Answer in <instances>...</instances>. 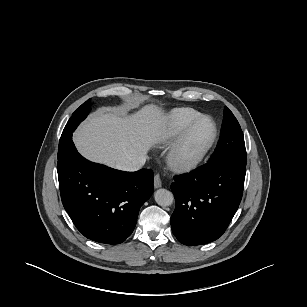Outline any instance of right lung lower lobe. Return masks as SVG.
<instances>
[{
  "instance_id": "1",
  "label": "right lung lower lobe",
  "mask_w": 307,
  "mask_h": 307,
  "mask_svg": "<svg viewBox=\"0 0 307 307\" xmlns=\"http://www.w3.org/2000/svg\"><path fill=\"white\" fill-rule=\"evenodd\" d=\"M63 206L88 239L119 244L133 232L140 207L154 191L150 169L123 172L82 157L71 139L58 155Z\"/></svg>"
}]
</instances>
